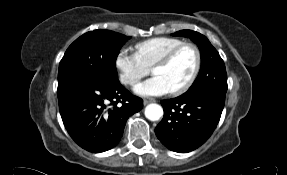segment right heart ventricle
<instances>
[{"label":"right heart ventricle","mask_w":287,"mask_h":175,"mask_svg":"<svg viewBox=\"0 0 287 175\" xmlns=\"http://www.w3.org/2000/svg\"><path fill=\"white\" fill-rule=\"evenodd\" d=\"M183 42L175 37H155L139 42L135 47L141 60L150 68L165 53Z\"/></svg>","instance_id":"1"}]
</instances>
